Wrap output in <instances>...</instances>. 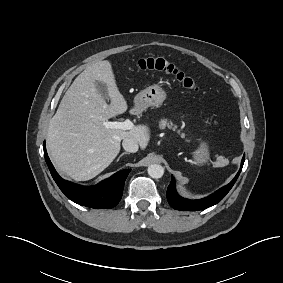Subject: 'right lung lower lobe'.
Here are the masks:
<instances>
[{
    "instance_id": "right-lung-lower-lobe-1",
    "label": "right lung lower lobe",
    "mask_w": 283,
    "mask_h": 283,
    "mask_svg": "<svg viewBox=\"0 0 283 283\" xmlns=\"http://www.w3.org/2000/svg\"><path fill=\"white\" fill-rule=\"evenodd\" d=\"M44 156L50 173L61 191L73 202L91 208H113L122 197L123 187L130 169L115 173L95 186H81L62 179L48 157L45 142Z\"/></svg>"
}]
</instances>
